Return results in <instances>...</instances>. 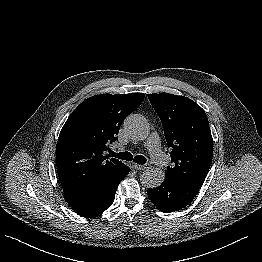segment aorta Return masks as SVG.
<instances>
[{"instance_id":"762f6f07","label":"aorta","mask_w":262,"mask_h":262,"mask_svg":"<svg viewBox=\"0 0 262 262\" xmlns=\"http://www.w3.org/2000/svg\"><path fill=\"white\" fill-rule=\"evenodd\" d=\"M124 129L127 134L136 140H143L149 134V126L141 115L131 114L124 121ZM165 179V173L160 168L146 169L140 176L141 184L146 188H157Z\"/></svg>"}]
</instances>
